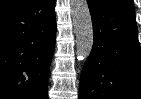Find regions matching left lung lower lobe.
I'll list each match as a JSON object with an SVG mask.
<instances>
[{
	"mask_svg": "<svg viewBox=\"0 0 141 99\" xmlns=\"http://www.w3.org/2000/svg\"><path fill=\"white\" fill-rule=\"evenodd\" d=\"M94 43L79 99H141V50L131 1L88 0Z\"/></svg>",
	"mask_w": 141,
	"mask_h": 99,
	"instance_id": "left-lung-lower-lobe-1",
	"label": "left lung lower lobe"
}]
</instances>
